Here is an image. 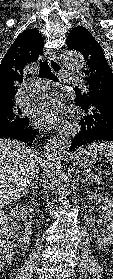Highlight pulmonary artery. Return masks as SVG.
I'll return each instance as SVG.
<instances>
[{"label": "pulmonary artery", "mask_w": 113, "mask_h": 279, "mask_svg": "<svg viewBox=\"0 0 113 279\" xmlns=\"http://www.w3.org/2000/svg\"><path fill=\"white\" fill-rule=\"evenodd\" d=\"M64 79L70 84L77 85L83 84V80L79 75L76 74H64ZM48 89V84L37 80L34 81L31 85H28L25 88L24 98L29 99L30 97H34L35 95L44 93Z\"/></svg>", "instance_id": "obj_1"}]
</instances>
